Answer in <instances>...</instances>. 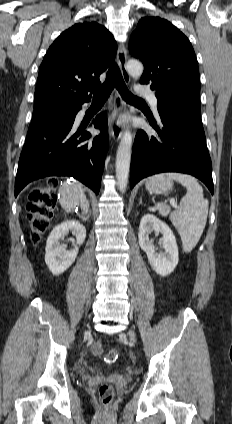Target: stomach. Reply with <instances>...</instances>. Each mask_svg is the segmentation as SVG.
<instances>
[{
    "instance_id": "0dacf381",
    "label": "stomach",
    "mask_w": 232,
    "mask_h": 424,
    "mask_svg": "<svg viewBox=\"0 0 232 424\" xmlns=\"http://www.w3.org/2000/svg\"><path fill=\"white\" fill-rule=\"evenodd\" d=\"M173 187L172 180L166 174L155 175L146 182V189L151 193H168Z\"/></svg>"
}]
</instances>
